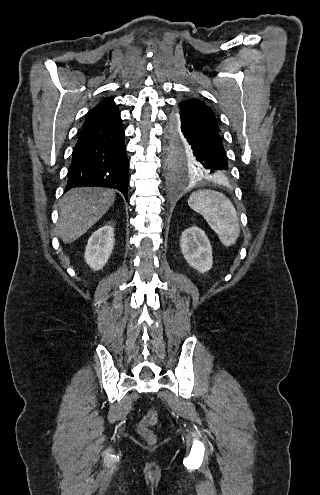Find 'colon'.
Here are the masks:
<instances>
[{
	"mask_svg": "<svg viewBox=\"0 0 320 495\" xmlns=\"http://www.w3.org/2000/svg\"><path fill=\"white\" fill-rule=\"evenodd\" d=\"M158 421V413L155 409H151L140 420L138 425L139 434L149 442L155 440L154 434L151 432L150 427L154 426Z\"/></svg>",
	"mask_w": 320,
	"mask_h": 495,
	"instance_id": "colon-1",
	"label": "colon"
}]
</instances>
